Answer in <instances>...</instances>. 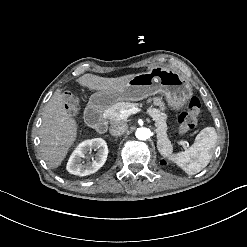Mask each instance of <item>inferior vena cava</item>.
<instances>
[{"label":"inferior vena cava","instance_id":"obj_1","mask_svg":"<svg viewBox=\"0 0 247 247\" xmlns=\"http://www.w3.org/2000/svg\"><path fill=\"white\" fill-rule=\"evenodd\" d=\"M127 129V124L117 121L110 125L109 132L112 136H121L127 131Z\"/></svg>","mask_w":247,"mask_h":247}]
</instances>
